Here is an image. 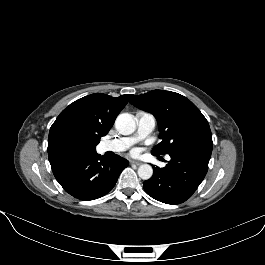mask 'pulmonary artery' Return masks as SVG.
I'll list each match as a JSON object with an SVG mask.
<instances>
[{
  "mask_svg": "<svg viewBox=\"0 0 265 265\" xmlns=\"http://www.w3.org/2000/svg\"><path fill=\"white\" fill-rule=\"evenodd\" d=\"M156 119L153 115L148 113H141L137 115V129L136 132L129 137H122L112 141H107L101 145V150L121 152L128 149L134 143L147 137L155 128ZM169 159V156H167Z\"/></svg>",
  "mask_w": 265,
  "mask_h": 265,
  "instance_id": "obj_1",
  "label": "pulmonary artery"
}]
</instances>
